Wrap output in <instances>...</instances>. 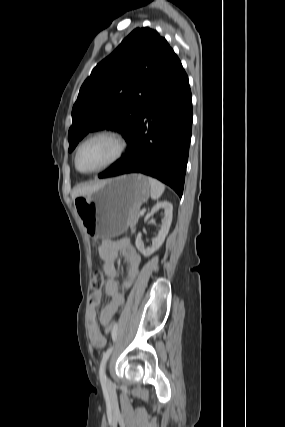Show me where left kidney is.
Returning a JSON list of instances; mask_svg holds the SVG:
<instances>
[{"label":"left kidney","mask_w":285,"mask_h":427,"mask_svg":"<svg viewBox=\"0 0 285 427\" xmlns=\"http://www.w3.org/2000/svg\"><path fill=\"white\" fill-rule=\"evenodd\" d=\"M160 209L164 210L165 217L162 220L161 228L158 232L157 237L152 241V246L145 248L144 243L142 241L141 233H139L136 238V242H135L136 247L145 257L151 256L156 250L160 248V246L163 244L165 240V237L169 232V228L172 222V211H173V206L170 202L164 201V202L157 203L152 208L151 212L146 215L144 221L146 222L155 212H157Z\"/></svg>","instance_id":"5707ae66"}]
</instances>
